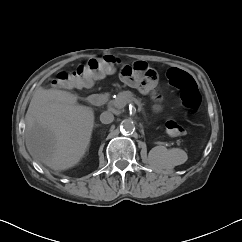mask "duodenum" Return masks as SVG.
<instances>
[{
  "mask_svg": "<svg viewBox=\"0 0 242 242\" xmlns=\"http://www.w3.org/2000/svg\"><path fill=\"white\" fill-rule=\"evenodd\" d=\"M104 100L105 96L103 94H92L88 98L89 103L94 106H100Z\"/></svg>",
  "mask_w": 242,
  "mask_h": 242,
  "instance_id": "duodenum-1",
  "label": "duodenum"
}]
</instances>
